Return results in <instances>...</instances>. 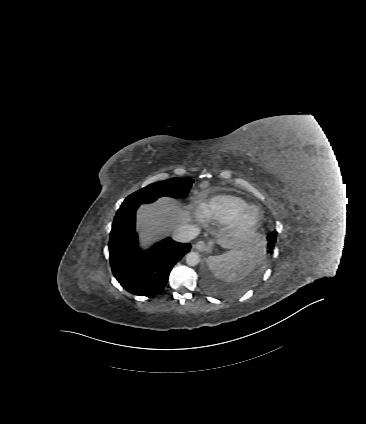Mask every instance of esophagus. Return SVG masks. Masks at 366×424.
<instances>
[{
  "label": "esophagus",
  "mask_w": 366,
  "mask_h": 424,
  "mask_svg": "<svg viewBox=\"0 0 366 424\" xmlns=\"http://www.w3.org/2000/svg\"><path fill=\"white\" fill-rule=\"evenodd\" d=\"M194 248L200 252L206 251L208 246L204 241H198L195 243Z\"/></svg>",
  "instance_id": "obj_1"
}]
</instances>
